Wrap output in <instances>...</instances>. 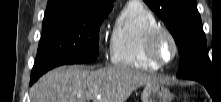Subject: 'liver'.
Returning <instances> with one entry per match:
<instances>
[{
    "instance_id": "6515ba94",
    "label": "liver",
    "mask_w": 221,
    "mask_h": 102,
    "mask_svg": "<svg viewBox=\"0 0 221 102\" xmlns=\"http://www.w3.org/2000/svg\"><path fill=\"white\" fill-rule=\"evenodd\" d=\"M159 82L156 76L127 66L95 71L62 66L49 71L32 86L30 99L31 102H125L140 86Z\"/></svg>"
}]
</instances>
